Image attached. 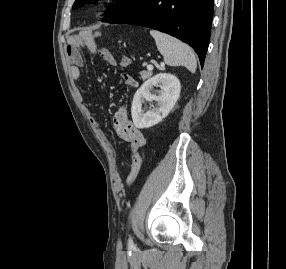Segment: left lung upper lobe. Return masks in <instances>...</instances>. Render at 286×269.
<instances>
[{
  "mask_svg": "<svg viewBox=\"0 0 286 269\" xmlns=\"http://www.w3.org/2000/svg\"><path fill=\"white\" fill-rule=\"evenodd\" d=\"M89 1L92 0H75L72 8H79ZM146 1L147 0H118L119 3L117 5L109 7L102 21L112 24L116 23L141 8Z\"/></svg>",
  "mask_w": 286,
  "mask_h": 269,
  "instance_id": "1",
  "label": "left lung upper lobe"
}]
</instances>
